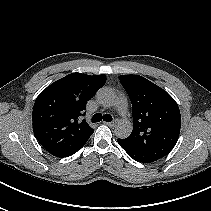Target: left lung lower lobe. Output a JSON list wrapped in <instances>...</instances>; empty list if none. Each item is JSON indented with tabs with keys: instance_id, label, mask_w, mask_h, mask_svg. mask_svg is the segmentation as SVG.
Returning a JSON list of instances; mask_svg holds the SVG:
<instances>
[{
	"instance_id": "left-lung-lower-lobe-1",
	"label": "left lung lower lobe",
	"mask_w": 211,
	"mask_h": 211,
	"mask_svg": "<svg viewBox=\"0 0 211 211\" xmlns=\"http://www.w3.org/2000/svg\"><path fill=\"white\" fill-rule=\"evenodd\" d=\"M119 145L127 152V154L133 158L135 161L141 162V163H151L156 160L157 158L148 155L146 153L140 152V151H135L132 149H129L125 146L123 139H118Z\"/></svg>"
}]
</instances>
